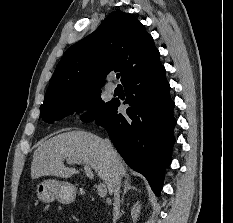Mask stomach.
<instances>
[{"mask_svg": "<svg viewBox=\"0 0 233 223\" xmlns=\"http://www.w3.org/2000/svg\"><path fill=\"white\" fill-rule=\"evenodd\" d=\"M36 195L43 203L60 201V203H72L77 197L78 187L70 181L60 179H42L35 187Z\"/></svg>", "mask_w": 233, "mask_h": 223, "instance_id": "0dacf381", "label": "stomach"}]
</instances>
